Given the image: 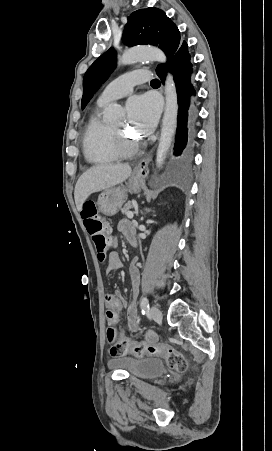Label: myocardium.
Here are the masks:
<instances>
[{"label": "myocardium", "mask_w": 272, "mask_h": 451, "mask_svg": "<svg viewBox=\"0 0 272 451\" xmlns=\"http://www.w3.org/2000/svg\"><path fill=\"white\" fill-rule=\"evenodd\" d=\"M110 140L112 141L115 150L122 154H128L134 148L133 142L129 141L121 131L114 128H111L110 130Z\"/></svg>", "instance_id": "myocardium-1"}]
</instances>
